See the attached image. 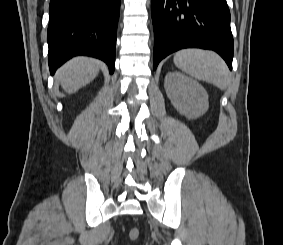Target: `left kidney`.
Listing matches in <instances>:
<instances>
[{"instance_id": "5707ae66", "label": "left kidney", "mask_w": 283, "mask_h": 245, "mask_svg": "<svg viewBox=\"0 0 283 245\" xmlns=\"http://www.w3.org/2000/svg\"><path fill=\"white\" fill-rule=\"evenodd\" d=\"M164 86L172 105L187 118H198L207 112L208 94L197 81L175 71L166 75Z\"/></svg>"}]
</instances>
